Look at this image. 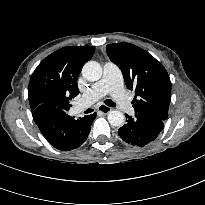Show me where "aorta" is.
<instances>
[{
  "label": "aorta",
  "instance_id": "aorta-1",
  "mask_svg": "<svg viewBox=\"0 0 205 205\" xmlns=\"http://www.w3.org/2000/svg\"><path fill=\"white\" fill-rule=\"evenodd\" d=\"M82 75L88 81H97L102 76V67L98 62L88 61L82 68ZM107 118L109 123L115 127L122 126L125 121L124 114L118 110L109 111Z\"/></svg>",
  "mask_w": 205,
  "mask_h": 205
}]
</instances>
